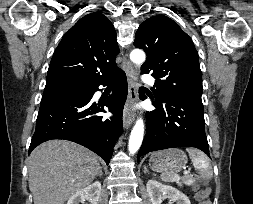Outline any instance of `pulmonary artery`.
Returning a JSON list of instances; mask_svg holds the SVG:
<instances>
[{"mask_svg":"<svg viewBox=\"0 0 253 204\" xmlns=\"http://www.w3.org/2000/svg\"><path fill=\"white\" fill-rule=\"evenodd\" d=\"M143 83L146 84V85H154L155 83V79L153 76L149 75V74H145L143 76Z\"/></svg>","mask_w":253,"mask_h":204,"instance_id":"obj_1","label":"pulmonary artery"}]
</instances>
